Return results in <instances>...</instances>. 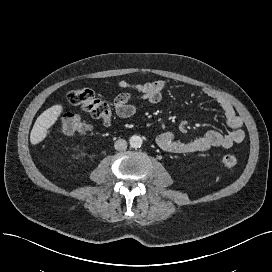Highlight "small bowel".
<instances>
[{
    "mask_svg": "<svg viewBox=\"0 0 272 272\" xmlns=\"http://www.w3.org/2000/svg\"><path fill=\"white\" fill-rule=\"evenodd\" d=\"M118 86L123 89H133L135 91L134 93H121L114 100L116 114L120 118H130L137 112V106L133 101L143 100L150 104L159 103L162 100L167 81L158 79L140 84H131L125 80H121L118 82ZM203 93L219 105L230 131L222 133L210 130L204 135L190 141H181L176 139L171 132H163L158 135L157 143L164 151L173 154H186L206 151L214 147L228 149L244 140L243 119L236 113L232 104L214 89L206 88L203 90Z\"/></svg>",
    "mask_w": 272,
    "mask_h": 272,
    "instance_id": "1",
    "label": "small bowel"
}]
</instances>
